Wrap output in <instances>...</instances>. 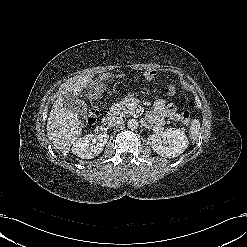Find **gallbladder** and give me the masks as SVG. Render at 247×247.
<instances>
[{"label": "gallbladder", "mask_w": 247, "mask_h": 247, "mask_svg": "<svg viewBox=\"0 0 247 247\" xmlns=\"http://www.w3.org/2000/svg\"><path fill=\"white\" fill-rule=\"evenodd\" d=\"M63 98L65 106L75 112H83L86 109L85 104L81 101H78L72 91L67 92Z\"/></svg>", "instance_id": "bac80fb5"}]
</instances>
